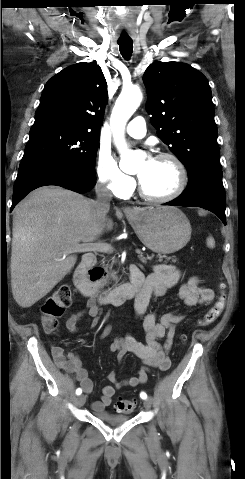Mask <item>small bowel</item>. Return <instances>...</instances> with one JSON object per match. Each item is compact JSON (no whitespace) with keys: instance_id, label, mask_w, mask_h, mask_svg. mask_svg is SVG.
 <instances>
[{"instance_id":"c3829d8e","label":"small bowel","mask_w":245,"mask_h":479,"mask_svg":"<svg viewBox=\"0 0 245 479\" xmlns=\"http://www.w3.org/2000/svg\"><path fill=\"white\" fill-rule=\"evenodd\" d=\"M135 268L139 269L136 266H131L130 269ZM140 273L144 280V287L135 300L134 310L137 317H143L146 342H139L134 337L126 335L116 338L110 344V350L116 354L119 363L123 361L126 354L130 353L139 357L143 366L135 376L122 381L117 379L114 371L110 372L108 380L111 384L103 387L101 399L91 405L92 410L96 413H102L111 405L112 398L117 390L126 386L136 387L145 384L151 368L166 371L171 367L169 352L173 345L177 326L184 319V316L167 312L158 318L155 313H147V308L152 297L162 296L168 289L178 284L180 272L172 265L158 264L153 266L148 275H143L141 271ZM178 296L186 306L195 307L212 302L214 292L212 289L201 285L199 278L194 276L180 285ZM100 314V303L94 298H89L84 310L72 313L67 318L66 328L70 333H77L79 323L86 315L91 317L90 326L95 328L98 325ZM110 332L111 327L106 326L101 333V337H106ZM51 354L55 365L59 369L74 374L86 394L92 391L93 383L77 353L70 351L65 354L62 347L54 346L51 348Z\"/></svg>"}]
</instances>
